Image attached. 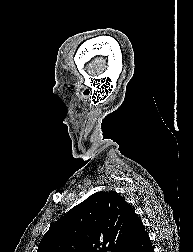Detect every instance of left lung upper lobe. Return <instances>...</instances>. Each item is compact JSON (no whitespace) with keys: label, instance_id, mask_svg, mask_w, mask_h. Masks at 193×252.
Listing matches in <instances>:
<instances>
[{"label":"left lung upper lobe","instance_id":"obj_1","mask_svg":"<svg viewBox=\"0 0 193 252\" xmlns=\"http://www.w3.org/2000/svg\"><path fill=\"white\" fill-rule=\"evenodd\" d=\"M140 222L118 193L97 192L55 222L37 252H124Z\"/></svg>","mask_w":193,"mask_h":252}]
</instances>
